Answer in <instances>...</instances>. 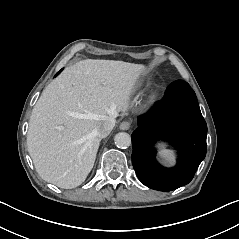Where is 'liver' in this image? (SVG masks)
I'll use <instances>...</instances> for the list:
<instances>
[{
	"label": "liver",
	"instance_id": "1",
	"mask_svg": "<svg viewBox=\"0 0 239 239\" xmlns=\"http://www.w3.org/2000/svg\"><path fill=\"white\" fill-rule=\"evenodd\" d=\"M140 69L88 60L66 68L45 88L27 134L28 152L44 181L73 189L86 180L101 142L97 130L126 106Z\"/></svg>",
	"mask_w": 239,
	"mask_h": 239
}]
</instances>
